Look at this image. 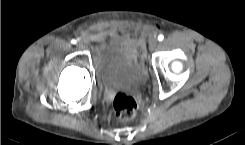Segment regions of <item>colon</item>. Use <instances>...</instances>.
I'll return each mask as SVG.
<instances>
[{
	"label": "colon",
	"mask_w": 245,
	"mask_h": 145,
	"mask_svg": "<svg viewBox=\"0 0 245 145\" xmlns=\"http://www.w3.org/2000/svg\"><path fill=\"white\" fill-rule=\"evenodd\" d=\"M112 108L116 116L123 120H129L133 118L138 111L139 103L129 93L118 90L113 96Z\"/></svg>",
	"instance_id": "obj_1"
}]
</instances>
